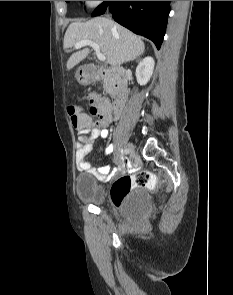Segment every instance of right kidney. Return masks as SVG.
<instances>
[{
  "mask_svg": "<svg viewBox=\"0 0 233 295\" xmlns=\"http://www.w3.org/2000/svg\"><path fill=\"white\" fill-rule=\"evenodd\" d=\"M154 59L150 56L139 62L136 68V78L140 85H146L150 80L154 70Z\"/></svg>",
  "mask_w": 233,
  "mask_h": 295,
  "instance_id": "ca27d5eb",
  "label": "right kidney"
}]
</instances>
